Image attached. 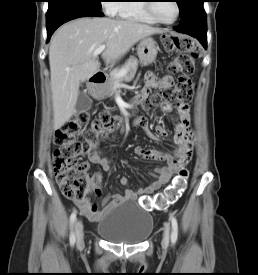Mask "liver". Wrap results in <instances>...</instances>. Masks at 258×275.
Listing matches in <instances>:
<instances>
[{"label": "liver", "mask_w": 258, "mask_h": 275, "mask_svg": "<svg viewBox=\"0 0 258 275\" xmlns=\"http://www.w3.org/2000/svg\"><path fill=\"white\" fill-rule=\"evenodd\" d=\"M161 29L134 20L83 17L61 26L49 47L53 128H61L74 113L81 82L100 68L93 52L105 44L102 57L113 62L141 39Z\"/></svg>", "instance_id": "liver-1"}]
</instances>
